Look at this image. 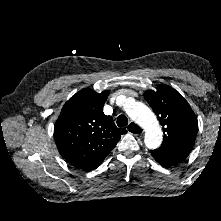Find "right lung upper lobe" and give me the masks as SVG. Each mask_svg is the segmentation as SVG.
<instances>
[{"label": "right lung upper lobe", "instance_id": "1", "mask_svg": "<svg viewBox=\"0 0 221 221\" xmlns=\"http://www.w3.org/2000/svg\"><path fill=\"white\" fill-rule=\"evenodd\" d=\"M109 95L84 88L63 106L54 126V139L63 158L76 168L97 167L127 131L103 113Z\"/></svg>", "mask_w": 221, "mask_h": 221}]
</instances>
